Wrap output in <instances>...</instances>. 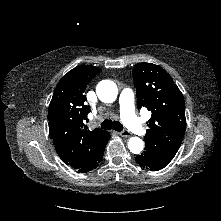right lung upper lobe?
Instances as JSON below:
<instances>
[{"label": "right lung upper lobe", "mask_w": 221, "mask_h": 221, "mask_svg": "<svg viewBox=\"0 0 221 221\" xmlns=\"http://www.w3.org/2000/svg\"><path fill=\"white\" fill-rule=\"evenodd\" d=\"M101 72L92 65L75 67L58 82L48 108L49 134L61 160L74 169L82 168L94 156L107 132L90 131L84 125L91 111L85 89Z\"/></svg>", "instance_id": "cb5924a9"}]
</instances>
